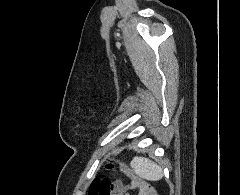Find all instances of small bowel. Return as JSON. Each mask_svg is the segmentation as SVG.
Segmentation results:
<instances>
[{"mask_svg": "<svg viewBox=\"0 0 240 195\" xmlns=\"http://www.w3.org/2000/svg\"><path fill=\"white\" fill-rule=\"evenodd\" d=\"M125 193H122V195H132V191H137V195H149L147 193V188H151V186H131L130 183L127 185H124Z\"/></svg>", "mask_w": 240, "mask_h": 195, "instance_id": "c3829d8e", "label": "small bowel"}]
</instances>
